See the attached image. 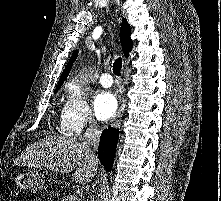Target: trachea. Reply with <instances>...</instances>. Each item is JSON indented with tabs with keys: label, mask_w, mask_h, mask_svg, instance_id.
I'll return each instance as SVG.
<instances>
[{
	"label": "trachea",
	"mask_w": 221,
	"mask_h": 201,
	"mask_svg": "<svg viewBox=\"0 0 221 201\" xmlns=\"http://www.w3.org/2000/svg\"><path fill=\"white\" fill-rule=\"evenodd\" d=\"M121 68H122V59L118 58L113 63V72L116 76H120L121 74Z\"/></svg>",
	"instance_id": "trachea-1"
}]
</instances>
